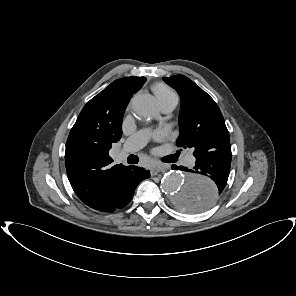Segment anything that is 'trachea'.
I'll return each instance as SVG.
<instances>
[{
	"instance_id": "obj_1",
	"label": "trachea",
	"mask_w": 296,
	"mask_h": 296,
	"mask_svg": "<svg viewBox=\"0 0 296 296\" xmlns=\"http://www.w3.org/2000/svg\"><path fill=\"white\" fill-rule=\"evenodd\" d=\"M138 161H139V159H138V157L135 156V155H130V156H128V158H127V162H128L129 164H137Z\"/></svg>"
}]
</instances>
